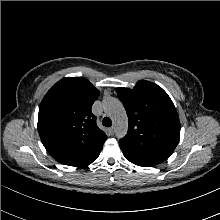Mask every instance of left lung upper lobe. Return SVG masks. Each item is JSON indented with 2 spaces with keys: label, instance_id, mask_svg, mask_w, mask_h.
<instances>
[{
  "label": "left lung upper lobe",
  "instance_id": "5c2ea615",
  "mask_svg": "<svg viewBox=\"0 0 220 220\" xmlns=\"http://www.w3.org/2000/svg\"><path fill=\"white\" fill-rule=\"evenodd\" d=\"M116 92L128 115L121 150L155 165L168 159L179 142L180 121L167 93L145 80L133 89L119 87Z\"/></svg>",
  "mask_w": 220,
  "mask_h": 220
}]
</instances>
